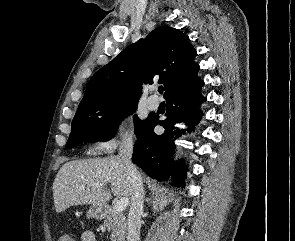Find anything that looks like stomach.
<instances>
[{"label": "stomach", "instance_id": "1", "mask_svg": "<svg viewBox=\"0 0 295 241\" xmlns=\"http://www.w3.org/2000/svg\"><path fill=\"white\" fill-rule=\"evenodd\" d=\"M105 215L104 205L92 204L87 212V217L101 219Z\"/></svg>", "mask_w": 295, "mask_h": 241}]
</instances>
